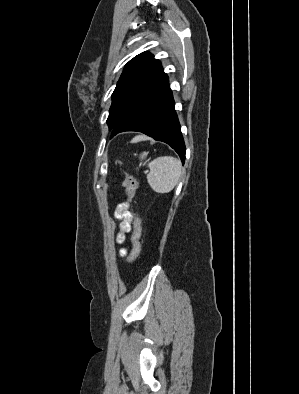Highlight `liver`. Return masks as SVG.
<instances>
[{
	"label": "liver",
	"mask_w": 299,
	"mask_h": 394,
	"mask_svg": "<svg viewBox=\"0 0 299 394\" xmlns=\"http://www.w3.org/2000/svg\"><path fill=\"white\" fill-rule=\"evenodd\" d=\"M142 137H136V138H134L133 139V141H137V140H139V139H141Z\"/></svg>",
	"instance_id": "6515ba94"
}]
</instances>
